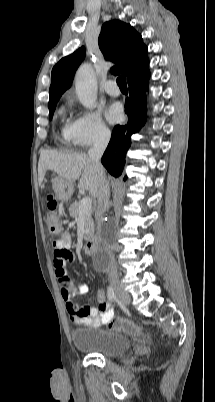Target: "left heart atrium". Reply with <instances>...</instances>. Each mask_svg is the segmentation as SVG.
Masks as SVG:
<instances>
[{"instance_id":"1","label":"left heart atrium","mask_w":215,"mask_h":402,"mask_svg":"<svg viewBox=\"0 0 215 402\" xmlns=\"http://www.w3.org/2000/svg\"><path fill=\"white\" fill-rule=\"evenodd\" d=\"M123 109L120 103L111 104L106 110V118L110 123H117L122 119Z\"/></svg>"}]
</instances>
